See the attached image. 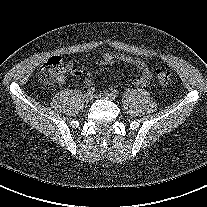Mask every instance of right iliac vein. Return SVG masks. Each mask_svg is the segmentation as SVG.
Here are the masks:
<instances>
[{"instance_id": "63e3f726", "label": "right iliac vein", "mask_w": 207, "mask_h": 207, "mask_svg": "<svg viewBox=\"0 0 207 207\" xmlns=\"http://www.w3.org/2000/svg\"><path fill=\"white\" fill-rule=\"evenodd\" d=\"M92 99H93V96H92V94H90V93H85L84 96H83V100H84V102H86V103L91 102Z\"/></svg>"}]
</instances>
